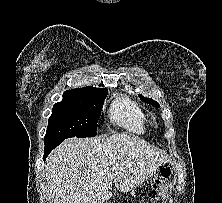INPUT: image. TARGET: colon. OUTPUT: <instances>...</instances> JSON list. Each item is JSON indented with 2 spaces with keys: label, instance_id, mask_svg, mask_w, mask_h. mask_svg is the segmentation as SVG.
Segmentation results:
<instances>
[{
  "label": "colon",
  "instance_id": "1",
  "mask_svg": "<svg viewBox=\"0 0 222 203\" xmlns=\"http://www.w3.org/2000/svg\"><path fill=\"white\" fill-rule=\"evenodd\" d=\"M170 176V169L167 167H161L157 177L154 180L153 190L151 192V197L153 200H157L160 191L164 185L166 179Z\"/></svg>",
  "mask_w": 222,
  "mask_h": 203
}]
</instances>
